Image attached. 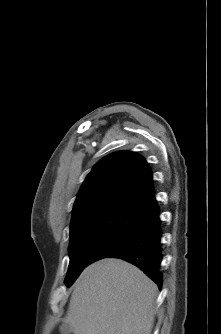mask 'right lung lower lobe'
Instances as JSON below:
<instances>
[{"label":"right lung lower lobe","mask_w":221,"mask_h":334,"mask_svg":"<svg viewBox=\"0 0 221 334\" xmlns=\"http://www.w3.org/2000/svg\"><path fill=\"white\" fill-rule=\"evenodd\" d=\"M158 206L143 216L141 224L106 258H120L140 268L161 289L162 273L159 271L162 248Z\"/></svg>","instance_id":"right-lung-lower-lobe-1"}]
</instances>
